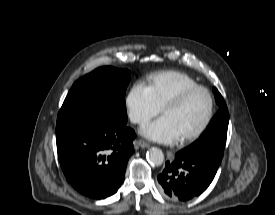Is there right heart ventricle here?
<instances>
[{
    "label": "right heart ventricle",
    "mask_w": 275,
    "mask_h": 215,
    "mask_svg": "<svg viewBox=\"0 0 275 215\" xmlns=\"http://www.w3.org/2000/svg\"><path fill=\"white\" fill-rule=\"evenodd\" d=\"M196 81L180 71H161L147 77L146 88L161 109L163 105L182 89L196 85Z\"/></svg>",
    "instance_id": "obj_1"
}]
</instances>
